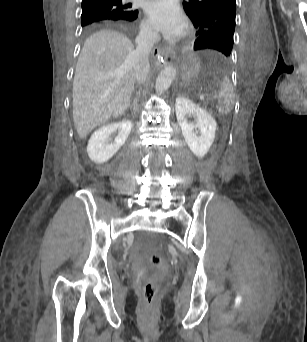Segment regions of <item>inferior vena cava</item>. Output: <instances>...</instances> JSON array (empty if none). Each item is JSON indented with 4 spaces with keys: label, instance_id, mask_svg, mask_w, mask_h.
Masks as SVG:
<instances>
[{
    "label": "inferior vena cava",
    "instance_id": "obj_1",
    "mask_svg": "<svg viewBox=\"0 0 307 342\" xmlns=\"http://www.w3.org/2000/svg\"><path fill=\"white\" fill-rule=\"evenodd\" d=\"M156 40L157 32H154L151 28L142 30L141 34L136 38L137 48L135 52H132L131 56L134 58V72L138 84H143L147 80L150 72L149 56Z\"/></svg>",
    "mask_w": 307,
    "mask_h": 342
}]
</instances>
